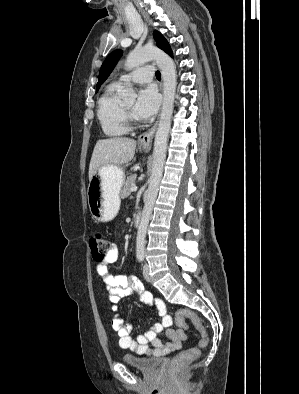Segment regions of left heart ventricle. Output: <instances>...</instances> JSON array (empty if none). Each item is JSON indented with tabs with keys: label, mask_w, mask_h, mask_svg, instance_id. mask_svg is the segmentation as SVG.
<instances>
[{
	"label": "left heart ventricle",
	"mask_w": 299,
	"mask_h": 394,
	"mask_svg": "<svg viewBox=\"0 0 299 394\" xmlns=\"http://www.w3.org/2000/svg\"><path fill=\"white\" fill-rule=\"evenodd\" d=\"M124 106H125L128 110L132 111V109H133V107H134V101L127 102V103L124 104Z\"/></svg>",
	"instance_id": "b2bd125f"
}]
</instances>
